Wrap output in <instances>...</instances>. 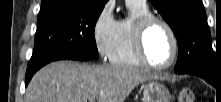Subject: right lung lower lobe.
Instances as JSON below:
<instances>
[{
	"label": "right lung lower lobe",
	"instance_id": "obj_1",
	"mask_svg": "<svg viewBox=\"0 0 221 102\" xmlns=\"http://www.w3.org/2000/svg\"><path fill=\"white\" fill-rule=\"evenodd\" d=\"M62 59H71V60H79V61H88L91 60L92 57L84 55V54H80V53H66L61 55L58 59L56 60H62ZM55 61V60H52ZM51 62V61H50ZM49 63V62H48ZM47 64V63H46ZM45 65V64H44ZM42 65V66H44ZM42 66L35 68L33 70L27 71L26 72V83L25 85L27 86V84L29 83V81L31 80L32 76L34 75V73L40 69Z\"/></svg>",
	"mask_w": 221,
	"mask_h": 102
}]
</instances>
